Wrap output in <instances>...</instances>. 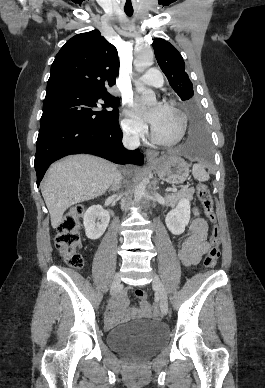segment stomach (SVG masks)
I'll list each match as a JSON object with an SVG mask.
<instances>
[{"label":"stomach","mask_w":265,"mask_h":388,"mask_svg":"<svg viewBox=\"0 0 265 388\" xmlns=\"http://www.w3.org/2000/svg\"><path fill=\"white\" fill-rule=\"evenodd\" d=\"M158 176L169 184H181L189 176V165L175 154L149 160Z\"/></svg>","instance_id":"1"}]
</instances>
